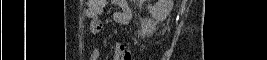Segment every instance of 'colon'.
<instances>
[{
    "label": "colon",
    "mask_w": 267,
    "mask_h": 60,
    "mask_svg": "<svg viewBox=\"0 0 267 60\" xmlns=\"http://www.w3.org/2000/svg\"><path fill=\"white\" fill-rule=\"evenodd\" d=\"M89 2L92 4L93 12H97L105 3L104 0H90Z\"/></svg>",
    "instance_id": "obj_1"
}]
</instances>
